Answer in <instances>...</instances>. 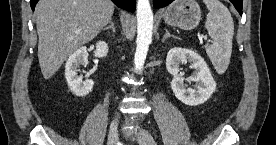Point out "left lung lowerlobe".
Instances as JSON below:
<instances>
[{"label": "left lung lower lobe", "mask_w": 276, "mask_h": 145, "mask_svg": "<svg viewBox=\"0 0 276 145\" xmlns=\"http://www.w3.org/2000/svg\"><path fill=\"white\" fill-rule=\"evenodd\" d=\"M172 1L173 0H153L154 6L156 8L164 7V6L168 5L169 3H171ZM230 1L233 3V5L235 6V8L239 12V14L242 15L243 0H230Z\"/></svg>", "instance_id": "1"}]
</instances>
